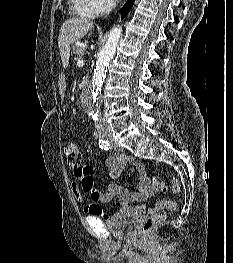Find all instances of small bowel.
I'll use <instances>...</instances> for the list:
<instances>
[{
    "label": "small bowel",
    "instance_id": "c3829d8e",
    "mask_svg": "<svg viewBox=\"0 0 233 263\" xmlns=\"http://www.w3.org/2000/svg\"><path fill=\"white\" fill-rule=\"evenodd\" d=\"M126 163L131 165L130 174L137 177V188L129 191L117 184H111L107 191H100L93 178L94 170L91 166H82L88 172L75 173L81 180V188L77 183L72 184V192L78 201H82V190L90 197L91 203L85 207L86 212L98 218L109 220L110 215L99 205L109 203L114 197H119L120 202L125 205L126 210L138 212H155L165 207L166 200L156 201L151 206L137 204L133 207L129 204L133 202H143L153 196L155 190L152 186L146 168L142 162L133 157H126L120 153H113L106 159V167L111 179H117L125 167ZM166 191V187L163 189Z\"/></svg>",
    "mask_w": 233,
    "mask_h": 263
}]
</instances>
